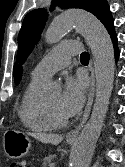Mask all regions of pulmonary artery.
<instances>
[{"label":"pulmonary artery","mask_w":125,"mask_h":167,"mask_svg":"<svg viewBox=\"0 0 125 167\" xmlns=\"http://www.w3.org/2000/svg\"><path fill=\"white\" fill-rule=\"evenodd\" d=\"M79 49L80 43L75 40L59 44L34 67L32 77L48 80L55 72L68 66L72 56L77 55Z\"/></svg>","instance_id":"e3ab8cb5"}]
</instances>
